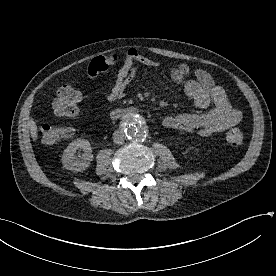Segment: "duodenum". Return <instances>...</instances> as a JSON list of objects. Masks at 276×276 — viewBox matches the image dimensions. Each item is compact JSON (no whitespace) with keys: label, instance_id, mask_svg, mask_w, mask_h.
Returning a JSON list of instances; mask_svg holds the SVG:
<instances>
[{"label":"duodenum","instance_id":"410a0bca","mask_svg":"<svg viewBox=\"0 0 276 276\" xmlns=\"http://www.w3.org/2000/svg\"><path fill=\"white\" fill-rule=\"evenodd\" d=\"M125 111L123 109H115L111 112V117L113 119H119L125 115Z\"/></svg>","mask_w":276,"mask_h":276}]
</instances>
